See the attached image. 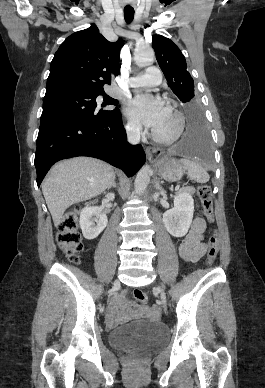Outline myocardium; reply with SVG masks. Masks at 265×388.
I'll return each instance as SVG.
<instances>
[{
	"mask_svg": "<svg viewBox=\"0 0 265 388\" xmlns=\"http://www.w3.org/2000/svg\"><path fill=\"white\" fill-rule=\"evenodd\" d=\"M167 111L170 113L174 121L173 130L169 133H161L154 128L152 131L154 139L164 144H170L178 140L185 126V118L180 111L172 106H168Z\"/></svg>",
	"mask_w": 265,
	"mask_h": 388,
	"instance_id": "myocardium-1",
	"label": "myocardium"
}]
</instances>
